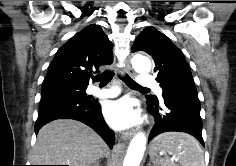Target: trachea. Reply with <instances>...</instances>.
Masks as SVG:
<instances>
[{"mask_svg": "<svg viewBox=\"0 0 236 166\" xmlns=\"http://www.w3.org/2000/svg\"><path fill=\"white\" fill-rule=\"evenodd\" d=\"M112 78H113V72L105 71L102 74L92 77V80L95 82H100V85L105 86L112 80ZM121 79L124 80L126 85L132 89H145V90L147 89L145 87H141L138 83H136L129 76H126Z\"/></svg>", "mask_w": 236, "mask_h": 166, "instance_id": "obj_1", "label": "trachea"}]
</instances>
